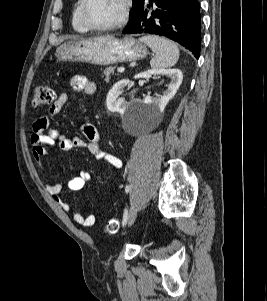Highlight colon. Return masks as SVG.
<instances>
[{"instance_id": "1", "label": "colon", "mask_w": 267, "mask_h": 301, "mask_svg": "<svg viewBox=\"0 0 267 301\" xmlns=\"http://www.w3.org/2000/svg\"><path fill=\"white\" fill-rule=\"evenodd\" d=\"M55 98V93L52 88L47 85H39L34 90L33 105L41 107L50 105ZM120 224L117 218H112L105 224L104 230L108 234H114L119 230Z\"/></svg>"}]
</instances>
